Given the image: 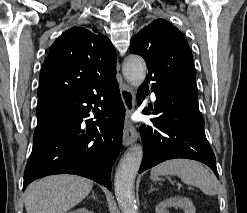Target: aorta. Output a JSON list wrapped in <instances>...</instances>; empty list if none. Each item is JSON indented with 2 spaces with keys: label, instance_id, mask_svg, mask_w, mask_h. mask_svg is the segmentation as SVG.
I'll return each mask as SVG.
<instances>
[{
  "label": "aorta",
  "instance_id": "1",
  "mask_svg": "<svg viewBox=\"0 0 247 213\" xmlns=\"http://www.w3.org/2000/svg\"><path fill=\"white\" fill-rule=\"evenodd\" d=\"M123 75L127 82L139 87L145 80L147 66L142 57L129 55L123 65ZM143 157L139 144L131 146L124 154L115 173V195L123 213H138L134 197V181Z\"/></svg>",
  "mask_w": 247,
  "mask_h": 213
}]
</instances>
